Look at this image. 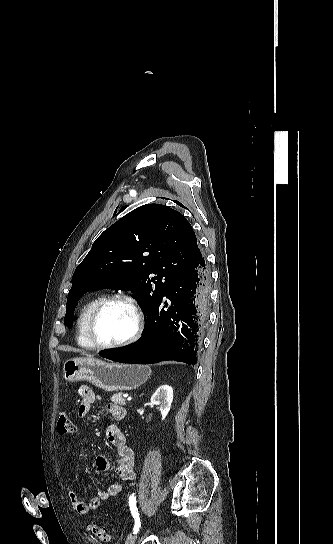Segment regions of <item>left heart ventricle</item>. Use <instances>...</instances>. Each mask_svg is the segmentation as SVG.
I'll list each match as a JSON object with an SVG mask.
<instances>
[{
    "instance_id": "obj_1",
    "label": "left heart ventricle",
    "mask_w": 333,
    "mask_h": 544,
    "mask_svg": "<svg viewBox=\"0 0 333 544\" xmlns=\"http://www.w3.org/2000/svg\"><path fill=\"white\" fill-rule=\"evenodd\" d=\"M135 328L131 307L122 301L107 305L96 323V336L102 343H116L128 338Z\"/></svg>"
}]
</instances>
